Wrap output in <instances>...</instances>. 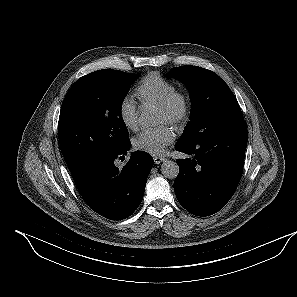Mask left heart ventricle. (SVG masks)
I'll use <instances>...</instances> for the list:
<instances>
[{
    "label": "left heart ventricle",
    "mask_w": 297,
    "mask_h": 297,
    "mask_svg": "<svg viewBox=\"0 0 297 297\" xmlns=\"http://www.w3.org/2000/svg\"><path fill=\"white\" fill-rule=\"evenodd\" d=\"M158 115H159V122L164 123L168 121V117L167 115L162 111V110H158Z\"/></svg>",
    "instance_id": "b2bd125f"
}]
</instances>
